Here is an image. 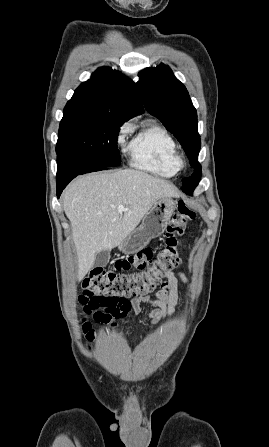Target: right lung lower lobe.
Masks as SVG:
<instances>
[{
  "label": "right lung lower lobe",
  "instance_id": "obj_1",
  "mask_svg": "<svg viewBox=\"0 0 269 447\" xmlns=\"http://www.w3.org/2000/svg\"><path fill=\"white\" fill-rule=\"evenodd\" d=\"M57 197H60L66 185L77 175L106 170L109 167L95 166L86 162L71 159H57Z\"/></svg>",
  "mask_w": 269,
  "mask_h": 447
}]
</instances>
